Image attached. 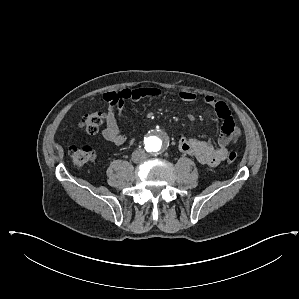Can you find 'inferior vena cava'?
Wrapping results in <instances>:
<instances>
[{
    "mask_svg": "<svg viewBox=\"0 0 299 299\" xmlns=\"http://www.w3.org/2000/svg\"><path fill=\"white\" fill-rule=\"evenodd\" d=\"M132 160L135 163H142L146 160V153L143 149H137L132 153Z\"/></svg>",
    "mask_w": 299,
    "mask_h": 299,
    "instance_id": "obj_1",
    "label": "inferior vena cava"
}]
</instances>
